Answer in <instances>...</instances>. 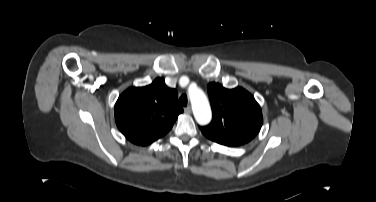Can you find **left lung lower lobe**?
<instances>
[{
  "instance_id": "1",
  "label": "left lung lower lobe",
  "mask_w": 376,
  "mask_h": 202,
  "mask_svg": "<svg viewBox=\"0 0 376 202\" xmlns=\"http://www.w3.org/2000/svg\"><path fill=\"white\" fill-rule=\"evenodd\" d=\"M201 132L207 137L209 138L210 140L212 141H215L219 144H222V145H225V146H239L240 144L238 143H234V142H225V141H222L221 139H219L218 137L216 136H213L212 134L206 132L205 130H203L202 128H200Z\"/></svg>"
}]
</instances>
